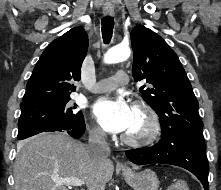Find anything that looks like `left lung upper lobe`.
Listing matches in <instances>:
<instances>
[{"mask_svg":"<svg viewBox=\"0 0 221 190\" xmlns=\"http://www.w3.org/2000/svg\"><path fill=\"white\" fill-rule=\"evenodd\" d=\"M131 42L132 75L136 81L148 83L140 92L160 117L161 129L205 144L198 101L176 53L159 35L141 25L131 31Z\"/></svg>","mask_w":221,"mask_h":190,"instance_id":"obj_1","label":"left lung upper lobe"}]
</instances>
